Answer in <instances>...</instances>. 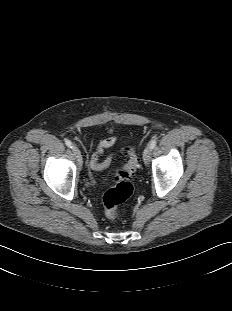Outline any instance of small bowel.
Returning a JSON list of instances; mask_svg holds the SVG:
<instances>
[{
  "mask_svg": "<svg viewBox=\"0 0 232 311\" xmlns=\"http://www.w3.org/2000/svg\"><path fill=\"white\" fill-rule=\"evenodd\" d=\"M116 141L114 136L108 137L101 141L93 154L90 160V168L93 171H102L104 170L110 163V158H106L104 161H100V157L103 154L104 150L111 147Z\"/></svg>",
  "mask_w": 232,
  "mask_h": 311,
  "instance_id": "small-bowel-1",
  "label": "small bowel"
}]
</instances>
